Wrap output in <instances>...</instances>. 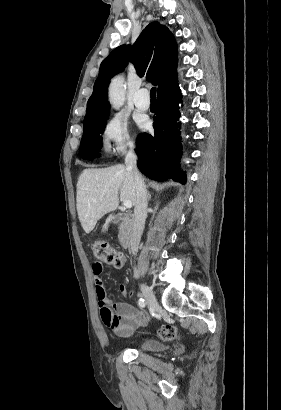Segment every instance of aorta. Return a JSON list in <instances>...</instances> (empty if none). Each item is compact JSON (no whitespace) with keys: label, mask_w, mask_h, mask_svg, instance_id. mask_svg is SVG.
Returning <instances> with one entry per match:
<instances>
[{"label":"aorta","mask_w":281,"mask_h":410,"mask_svg":"<svg viewBox=\"0 0 281 410\" xmlns=\"http://www.w3.org/2000/svg\"><path fill=\"white\" fill-rule=\"evenodd\" d=\"M109 101L114 109H120L125 101V88L122 77H115L109 85Z\"/></svg>","instance_id":"obj_1"}]
</instances>
